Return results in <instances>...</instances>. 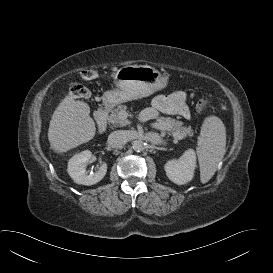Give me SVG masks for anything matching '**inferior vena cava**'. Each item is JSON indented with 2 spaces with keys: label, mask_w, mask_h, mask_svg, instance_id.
Segmentation results:
<instances>
[{
  "label": "inferior vena cava",
  "mask_w": 273,
  "mask_h": 273,
  "mask_svg": "<svg viewBox=\"0 0 273 273\" xmlns=\"http://www.w3.org/2000/svg\"><path fill=\"white\" fill-rule=\"evenodd\" d=\"M129 141L128 133L125 130H117L108 136V144L113 148L125 145Z\"/></svg>",
  "instance_id": "inferior-vena-cava-1"
}]
</instances>
